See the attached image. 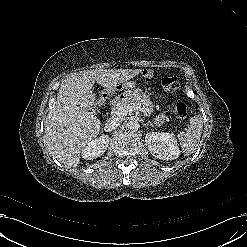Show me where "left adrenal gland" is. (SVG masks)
Masks as SVG:
<instances>
[{
	"mask_svg": "<svg viewBox=\"0 0 247 247\" xmlns=\"http://www.w3.org/2000/svg\"><path fill=\"white\" fill-rule=\"evenodd\" d=\"M149 124H150L151 126H153L152 123H148L147 125H149ZM144 126H146V124H144Z\"/></svg>",
	"mask_w": 247,
	"mask_h": 247,
	"instance_id": "obj_1",
	"label": "left adrenal gland"
}]
</instances>
